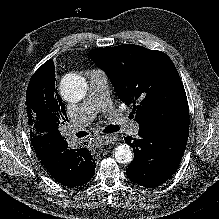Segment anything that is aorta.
<instances>
[{
  "mask_svg": "<svg viewBox=\"0 0 219 219\" xmlns=\"http://www.w3.org/2000/svg\"><path fill=\"white\" fill-rule=\"evenodd\" d=\"M60 91L65 100L79 101L87 92V82L81 75H71L61 81ZM114 157L118 163L129 164L133 160V151L129 145L121 144L114 149Z\"/></svg>",
  "mask_w": 219,
  "mask_h": 219,
  "instance_id": "obj_1",
  "label": "aorta"
}]
</instances>
